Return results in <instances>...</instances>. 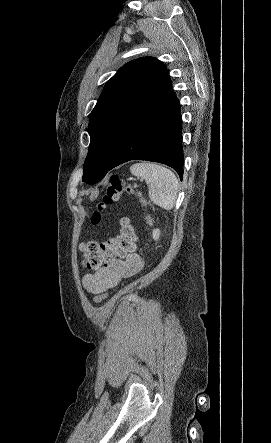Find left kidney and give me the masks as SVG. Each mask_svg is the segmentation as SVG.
Returning <instances> with one entry per match:
<instances>
[{
  "label": "left kidney",
  "mask_w": 271,
  "mask_h": 443,
  "mask_svg": "<svg viewBox=\"0 0 271 443\" xmlns=\"http://www.w3.org/2000/svg\"><path fill=\"white\" fill-rule=\"evenodd\" d=\"M160 229H154L153 231V239H159Z\"/></svg>",
  "instance_id": "1"
}]
</instances>
